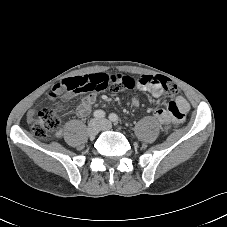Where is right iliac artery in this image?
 I'll return each instance as SVG.
<instances>
[{"instance_id": "obj_1", "label": "right iliac artery", "mask_w": 227, "mask_h": 227, "mask_svg": "<svg viewBox=\"0 0 227 227\" xmlns=\"http://www.w3.org/2000/svg\"><path fill=\"white\" fill-rule=\"evenodd\" d=\"M93 116L97 119H101V118H104L105 117V112L102 111V110H96L94 113H93Z\"/></svg>"}]
</instances>
